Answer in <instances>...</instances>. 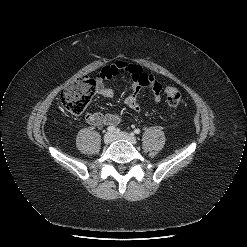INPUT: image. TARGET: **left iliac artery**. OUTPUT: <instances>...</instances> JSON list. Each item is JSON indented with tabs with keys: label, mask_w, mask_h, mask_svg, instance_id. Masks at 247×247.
Segmentation results:
<instances>
[{
	"label": "left iliac artery",
	"mask_w": 247,
	"mask_h": 247,
	"mask_svg": "<svg viewBox=\"0 0 247 247\" xmlns=\"http://www.w3.org/2000/svg\"><path fill=\"white\" fill-rule=\"evenodd\" d=\"M133 133L134 134H140V130L139 129H135Z\"/></svg>",
	"instance_id": "44dca946"
}]
</instances>
